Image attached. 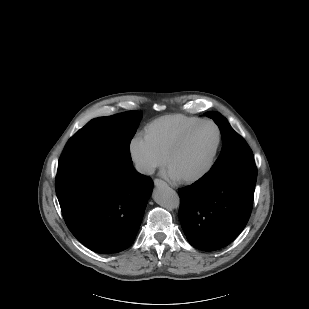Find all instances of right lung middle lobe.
<instances>
[{"mask_svg": "<svg viewBox=\"0 0 309 309\" xmlns=\"http://www.w3.org/2000/svg\"><path fill=\"white\" fill-rule=\"evenodd\" d=\"M141 118V112L128 111L91 120L69 140L58 164L56 181L94 157L131 161L129 145Z\"/></svg>", "mask_w": 309, "mask_h": 309, "instance_id": "right-lung-middle-lobe-1", "label": "right lung middle lobe"}]
</instances>
